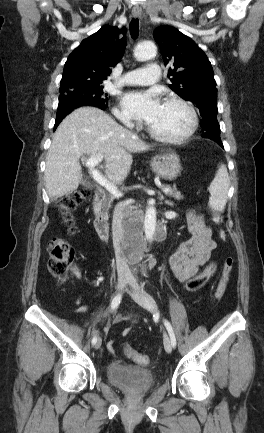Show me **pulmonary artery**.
I'll use <instances>...</instances> for the list:
<instances>
[{
    "mask_svg": "<svg viewBox=\"0 0 264 433\" xmlns=\"http://www.w3.org/2000/svg\"><path fill=\"white\" fill-rule=\"evenodd\" d=\"M161 69L158 64L151 63L145 68L134 69L125 73L122 82L125 85H151L159 80Z\"/></svg>",
    "mask_w": 264,
    "mask_h": 433,
    "instance_id": "1",
    "label": "pulmonary artery"
}]
</instances>
